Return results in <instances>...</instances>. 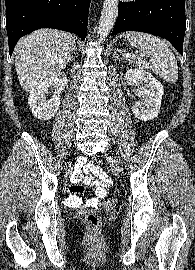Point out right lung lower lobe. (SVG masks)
Here are the masks:
<instances>
[{"label":"right lung lower lobe","instance_id":"98d812e1","mask_svg":"<svg viewBox=\"0 0 195 270\" xmlns=\"http://www.w3.org/2000/svg\"><path fill=\"white\" fill-rule=\"evenodd\" d=\"M90 0H6L10 56L17 41L40 28H53L86 37Z\"/></svg>","mask_w":195,"mask_h":270}]
</instances>
